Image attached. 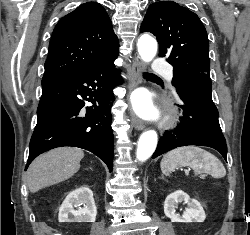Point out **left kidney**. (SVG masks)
Instances as JSON below:
<instances>
[{"label":"left kidney","mask_w":250,"mask_h":235,"mask_svg":"<svg viewBox=\"0 0 250 235\" xmlns=\"http://www.w3.org/2000/svg\"><path fill=\"white\" fill-rule=\"evenodd\" d=\"M181 202L188 205V208L184 211L182 216L176 213V206ZM164 213L171 219V222H203L206 218L201 204L197 200L191 199L189 195L182 190H177L166 197L164 202Z\"/></svg>","instance_id":"1"}]
</instances>
